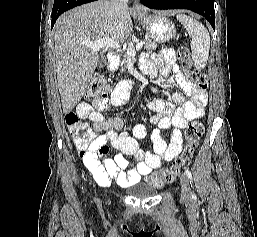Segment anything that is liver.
<instances>
[{
  "mask_svg": "<svg viewBox=\"0 0 257 237\" xmlns=\"http://www.w3.org/2000/svg\"><path fill=\"white\" fill-rule=\"evenodd\" d=\"M165 15H174L168 11ZM133 31L128 8L100 0L65 12L54 26L56 67L63 112L73 110L87 89L100 61L98 50L85 41L109 38L117 43L127 40Z\"/></svg>",
  "mask_w": 257,
  "mask_h": 237,
  "instance_id": "6515ba94",
  "label": "liver"
}]
</instances>
